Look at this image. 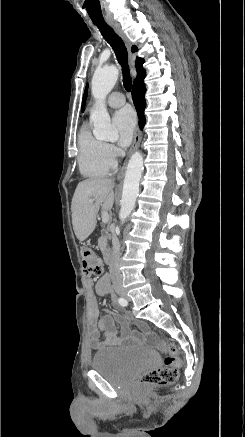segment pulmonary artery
<instances>
[{"label":"pulmonary artery","mask_w":245,"mask_h":437,"mask_svg":"<svg viewBox=\"0 0 245 437\" xmlns=\"http://www.w3.org/2000/svg\"><path fill=\"white\" fill-rule=\"evenodd\" d=\"M125 97L121 92H113L107 99V105L112 108H118L124 105Z\"/></svg>","instance_id":"obj_1"}]
</instances>
